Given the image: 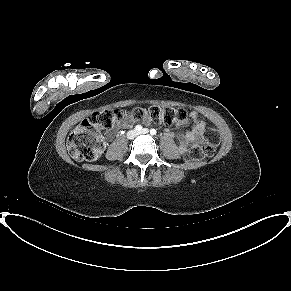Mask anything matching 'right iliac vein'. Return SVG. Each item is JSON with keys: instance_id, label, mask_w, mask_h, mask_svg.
Returning <instances> with one entry per match:
<instances>
[{"instance_id": "right-iliac-vein-1", "label": "right iliac vein", "mask_w": 291, "mask_h": 291, "mask_svg": "<svg viewBox=\"0 0 291 291\" xmlns=\"http://www.w3.org/2000/svg\"><path fill=\"white\" fill-rule=\"evenodd\" d=\"M137 136V131H135V130H130V131H128V133H127V138L128 139H133V138H135Z\"/></svg>"}]
</instances>
